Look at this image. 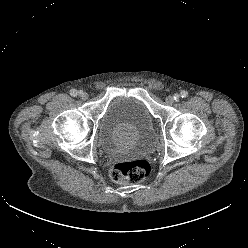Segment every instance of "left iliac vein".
<instances>
[{"label":"left iliac vein","mask_w":248,"mask_h":248,"mask_svg":"<svg viewBox=\"0 0 248 248\" xmlns=\"http://www.w3.org/2000/svg\"><path fill=\"white\" fill-rule=\"evenodd\" d=\"M175 99L173 96L166 97V103L169 105H172L174 103Z\"/></svg>","instance_id":"obj_1"}]
</instances>
